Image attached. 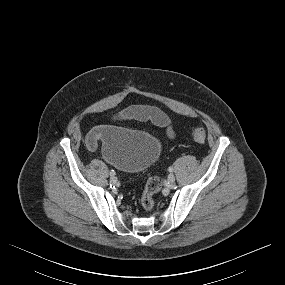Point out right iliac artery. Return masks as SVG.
Listing matches in <instances>:
<instances>
[{"instance_id":"1","label":"right iliac artery","mask_w":285,"mask_h":285,"mask_svg":"<svg viewBox=\"0 0 285 285\" xmlns=\"http://www.w3.org/2000/svg\"><path fill=\"white\" fill-rule=\"evenodd\" d=\"M115 174H116V173H115L114 170H111V171H110V175H111V176H114Z\"/></svg>"}]
</instances>
